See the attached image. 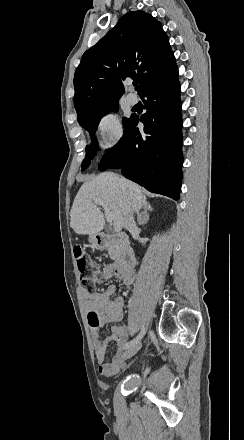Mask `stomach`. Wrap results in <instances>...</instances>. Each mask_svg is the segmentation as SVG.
Returning <instances> with one entry per match:
<instances>
[{
  "mask_svg": "<svg viewBox=\"0 0 244 440\" xmlns=\"http://www.w3.org/2000/svg\"><path fill=\"white\" fill-rule=\"evenodd\" d=\"M91 246H94V248H100L99 246V234H91V236H89L88 238Z\"/></svg>",
  "mask_w": 244,
  "mask_h": 440,
  "instance_id": "obj_1",
  "label": "stomach"
}]
</instances>
